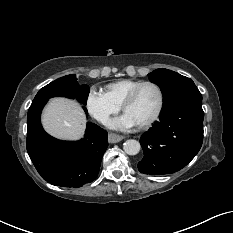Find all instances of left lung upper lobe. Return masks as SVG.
<instances>
[{"label":"left lung upper lobe","mask_w":233,"mask_h":233,"mask_svg":"<svg viewBox=\"0 0 233 233\" xmlns=\"http://www.w3.org/2000/svg\"><path fill=\"white\" fill-rule=\"evenodd\" d=\"M151 82L157 84L164 98L163 110L182 101L202 99L194 82L183 75L168 69H157L149 75Z\"/></svg>","instance_id":"left-lung-upper-lobe-1"}]
</instances>
